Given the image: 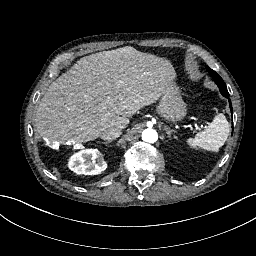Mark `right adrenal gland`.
<instances>
[{"mask_svg":"<svg viewBox=\"0 0 256 256\" xmlns=\"http://www.w3.org/2000/svg\"><path fill=\"white\" fill-rule=\"evenodd\" d=\"M110 142H111V140H108L106 142H100V143L103 144V145H108Z\"/></svg>","mask_w":256,"mask_h":256,"instance_id":"right-adrenal-gland-1","label":"right adrenal gland"}]
</instances>
